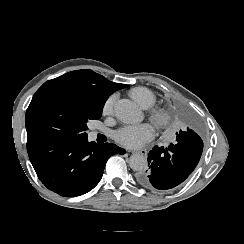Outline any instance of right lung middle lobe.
<instances>
[{
  "mask_svg": "<svg viewBox=\"0 0 244 244\" xmlns=\"http://www.w3.org/2000/svg\"><path fill=\"white\" fill-rule=\"evenodd\" d=\"M106 98L89 84L60 76L44 83L26 111L28 134L87 137V122L101 117Z\"/></svg>",
  "mask_w": 244,
  "mask_h": 244,
  "instance_id": "dd1d6c3e",
  "label": "right lung middle lobe"
}]
</instances>
